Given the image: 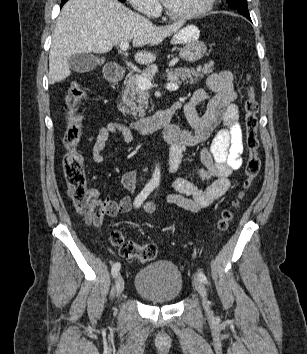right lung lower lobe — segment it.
Instances as JSON below:
<instances>
[{
    "label": "right lung lower lobe",
    "instance_id": "98d812e1",
    "mask_svg": "<svg viewBox=\"0 0 307 354\" xmlns=\"http://www.w3.org/2000/svg\"><path fill=\"white\" fill-rule=\"evenodd\" d=\"M68 0H62L61 2V7L64 5L65 2H67Z\"/></svg>",
    "mask_w": 307,
    "mask_h": 354
}]
</instances>
